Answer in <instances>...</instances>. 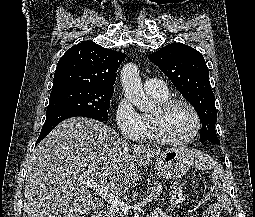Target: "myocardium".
<instances>
[{
  "mask_svg": "<svg viewBox=\"0 0 255 217\" xmlns=\"http://www.w3.org/2000/svg\"><path fill=\"white\" fill-rule=\"evenodd\" d=\"M175 104H183L187 106L194 115L196 121V127L193 133L185 139L170 138L166 135L163 128L164 115ZM151 128L154 139L159 142L169 145H184L192 142L197 137L202 128V119L196 107L189 100L184 98H168L159 103L155 110L151 113Z\"/></svg>",
  "mask_w": 255,
  "mask_h": 217,
  "instance_id": "myocardium-1",
  "label": "myocardium"
}]
</instances>
